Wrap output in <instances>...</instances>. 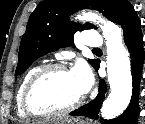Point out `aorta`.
Wrapping results in <instances>:
<instances>
[{
	"label": "aorta",
	"instance_id": "obj_1",
	"mask_svg": "<svg viewBox=\"0 0 145 124\" xmlns=\"http://www.w3.org/2000/svg\"><path fill=\"white\" fill-rule=\"evenodd\" d=\"M79 20L100 24L107 47V74L110 94L103 102L101 115L113 119L128 107L132 96V75L129 53L123 45L121 28L95 13H83Z\"/></svg>",
	"mask_w": 145,
	"mask_h": 124
}]
</instances>
